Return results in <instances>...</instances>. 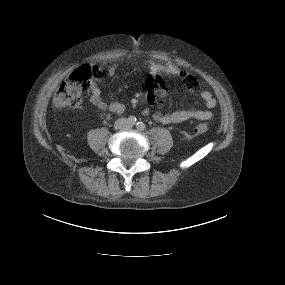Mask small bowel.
Wrapping results in <instances>:
<instances>
[{
	"instance_id": "obj_1",
	"label": "small bowel",
	"mask_w": 285,
	"mask_h": 285,
	"mask_svg": "<svg viewBox=\"0 0 285 285\" xmlns=\"http://www.w3.org/2000/svg\"><path fill=\"white\" fill-rule=\"evenodd\" d=\"M146 65L150 70V74L145 81L147 101L149 104V106L144 109L145 115L152 114L156 121L163 124H177L190 119L207 121L212 117V112L208 109H212L216 106V99L211 92L207 90L199 91V83L189 72L174 64H161L153 60L146 61ZM117 69V64L112 65L108 70L109 75H114ZM160 74L179 76L184 79L190 91L199 92V97L207 109L187 107L167 113L162 112L161 110L154 111V107L158 104L162 105L166 97V88L159 76ZM90 102L101 110H108L116 114L122 113L125 109L124 104L121 102L107 103L103 99L102 92L95 82L90 86Z\"/></svg>"
}]
</instances>
